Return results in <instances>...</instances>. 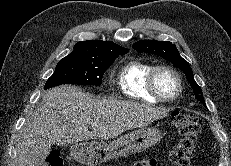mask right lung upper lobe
I'll list each match as a JSON object with an SVG mask.
<instances>
[{"label": "right lung upper lobe", "mask_w": 231, "mask_h": 166, "mask_svg": "<svg viewBox=\"0 0 231 166\" xmlns=\"http://www.w3.org/2000/svg\"><path fill=\"white\" fill-rule=\"evenodd\" d=\"M123 52H128V49L123 48L111 41L88 40L76 43L71 54L99 58L101 56Z\"/></svg>", "instance_id": "1"}]
</instances>
